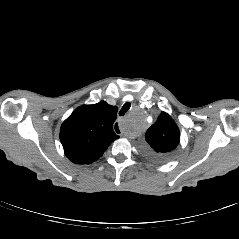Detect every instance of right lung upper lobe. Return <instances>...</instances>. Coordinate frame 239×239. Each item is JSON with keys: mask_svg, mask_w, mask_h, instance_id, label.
I'll list each match as a JSON object with an SVG mask.
<instances>
[{"mask_svg": "<svg viewBox=\"0 0 239 239\" xmlns=\"http://www.w3.org/2000/svg\"><path fill=\"white\" fill-rule=\"evenodd\" d=\"M117 111L105 101L78 107L61 126L65 155L76 164L96 161L119 138L113 131Z\"/></svg>", "mask_w": 239, "mask_h": 239, "instance_id": "cb5924a9", "label": "right lung upper lobe"}]
</instances>
